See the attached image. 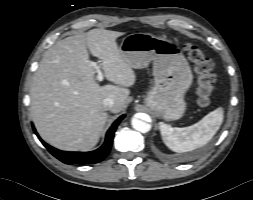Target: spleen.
Wrapping results in <instances>:
<instances>
[{"label": "spleen", "mask_w": 253, "mask_h": 200, "mask_svg": "<svg viewBox=\"0 0 253 200\" xmlns=\"http://www.w3.org/2000/svg\"><path fill=\"white\" fill-rule=\"evenodd\" d=\"M223 117V108L219 107L188 127L173 128L160 122L163 142L174 152L192 151L213 138L223 122Z\"/></svg>", "instance_id": "3e777b00"}]
</instances>
